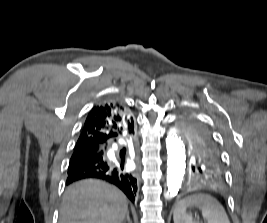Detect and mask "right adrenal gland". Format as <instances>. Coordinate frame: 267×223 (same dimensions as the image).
<instances>
[{
    "mask_svg": "<svg viewBox=\"0 0 267 223\" xmlns=\"http://www.w3.org/2000/svg\"><path fill=\"white\" fill-rule=\"evenodd\" d=\"M126 221H127L128 223H132V221L130 220V217H129V212H127V214H126V218L123 220L122 223H126Z\"/></svg>",
    "mask_w": 267,
    "mask_h": 223,
    "instance_id": "obj_1",
    "label": "right adrenal gland"
}]
</instances>
